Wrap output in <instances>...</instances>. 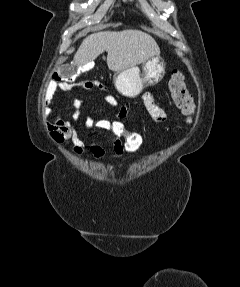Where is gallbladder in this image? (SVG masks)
Masks as SVG:
<instances>
[{"label":"gallbladder","mask_w":240,"mask_h":287,"mask_svg":"<svg viewBox=\"0 0 240 287\" xmlns=\"http://www.w3.org/2000/svg\"><path fill=\"white\" fill-rule=\"evenodd\" d=\"M62 74L68 78H75L79 72L75 67H64Z\"/></svg>","instance_id":"1"}]
</instances>
